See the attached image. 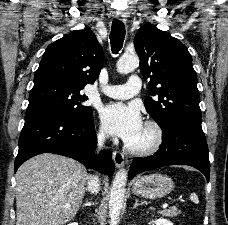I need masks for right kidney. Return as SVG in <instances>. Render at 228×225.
<instances>
[{
    "mask_svg": "<svg viewBox=\"0 0 228 225\" xmlns=\"http://www.w3.org/2000/svg\"><path fill=\"white\" fill-rule=\"evenodd\" d=\"M70 225H77V223H70Z\"/></svg>",
    "mask_w": 228,
    "mask_h": 225,
    "instance_id": "ca27d5eb",
    "label": "right kidney"
}]
</instances>
